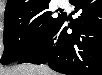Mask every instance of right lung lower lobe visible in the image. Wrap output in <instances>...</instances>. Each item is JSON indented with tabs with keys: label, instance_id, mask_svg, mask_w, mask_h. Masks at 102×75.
<instances>
[{
	"label": "right lung lower lobe",
	"instance_id": "right-lung-lower-lobe-1",
	"mask_svg": "<svg viewBox=\"0 0 102 75\" xmlns=\"http://www.w3.org/2000/svg\"><path fill=\"white\" fill-rule=\"evenodd\" d=\"M80 16L64 14L47 39L18 61L45 64L66 75H102V0H70ZM72 33L68 34L67 29Z\"/></svg>",
	"mask_w": 102,
	"mask_h": 75
}]
</instances>
